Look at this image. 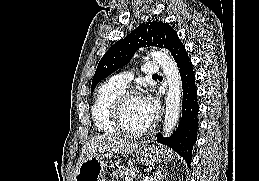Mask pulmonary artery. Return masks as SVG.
I'll return each mask as SVG.
<instances>
[{"label": "pulmonary artery", "instance_id": "obj_1", "mask_svg": "<svg viewBox=\"0 0 259 181\" xmlns=\"http://www.w3.org/2000/svg\"><path fill=\"white\" fill-rule=\"evenodd\" d=\"M159 71L160 66L155 63L149 62L144 64L143 73L145 76H153L157 74ZM110 81L121 88H126L130 80L127 74L121 73L111 77Z\"/></svg>", "mask_w": 259, "mask_h": 181}]
</instances>
